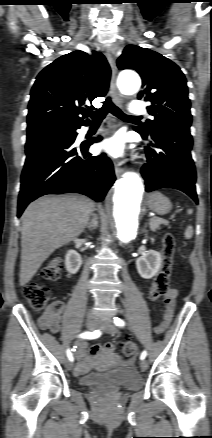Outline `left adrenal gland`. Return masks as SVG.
<instances>
[{
  "label": "left adrenal gland",
  "instance_id": "1",
  "mask_svg": "<svg viewBox=\"0 0 212 438\" xmlns=\"http://www.w3.org/2000/svg\"><path fill=\"white\" fill-rule=\"evenodd\" d=\"M146 227H147V223L144 226L143 232H147Z\"/></svg>",
  "mask_w": 212,
  "mask_h": 438
}]
</instances>
